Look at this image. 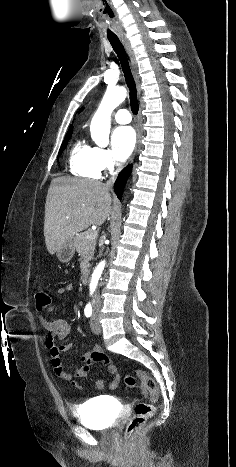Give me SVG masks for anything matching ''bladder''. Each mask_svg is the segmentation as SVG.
<instances>
[{
  "instance_id": "1",
  "label": "bladder",
  "mask_w": 236,
  "mask_h": 467,
  "mask_svg": "<svg viewBox=\"0 0 236 467\" xmlns=\"http://www.w3.org/2000/svg\"><path fill=\"white\" fill-rule=\"evenodd\" d=\"M113 403L105 397H94L84 402L80 407L73 408L75 417L90 428L106 429L113 426L109 410Z\"/></svg>"
}]
</instances>
